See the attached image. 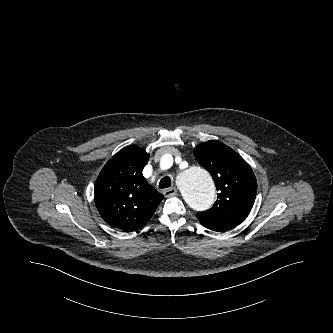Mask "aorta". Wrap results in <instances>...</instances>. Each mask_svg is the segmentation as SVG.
I'll return each instance as SVG.
<instances>
[{
    "label": "aorta",
    "mask_w": 333,
    "mask_h": 333,
    "mask_svg": "<svg viewBox=\"0 0 333 333\" xmlns=\"http://www.w3.org/2000/svg\"><path fill=\"white\" fill-rule=\"evenodd\" d=\"M178 182L183 199L192 209L204 211L213 204L215 185L202 167L189 164L181 171Z\"/></svg>",
    "instance_id": "obj_1"
}]
</instances>
